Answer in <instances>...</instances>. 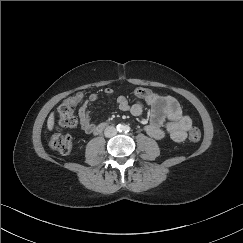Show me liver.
I'll return each mask as SVG.
<instances>
[{
    "label": "liver",
    "mask_w": 243,
    "mask_h": 243,
    "mask_svg": "<svg viewBox=\"0 0 243 243\" xmlns=\"http://www.w3.org/2000/svg\"><path fill=\"white\" fill-rule=\"evenodd\" d=\"M54 124H55V118H54V112H52L49 115V118L47 120V128H48L49 131H52L53 130Z\"/></svg>",
    "instance_id": "liver-1"
}]
</instances>
